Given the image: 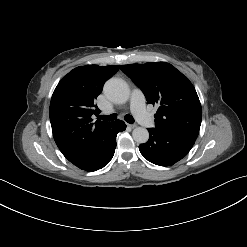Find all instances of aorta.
<instances>
[{
	"label": "aorta",
	"mask_w": 247,
	"mask_h": 247,
	"mask_svg": "<svg viewBox=\"0 0 247 247\" xmlns=\"http://www.w3.org/2000/svg\"><path fill=\"white\" fill-rule=\"evenodd\" d=\"M103 92L106 98L115 104L127 102L130 96L127 83L118 78L109 79L104 85ZM132 137L137 143H146L149 139V133L146 128L136 127L132 132Z\"/></svg>",
	"instance_id": "1"
}]
</instances>
